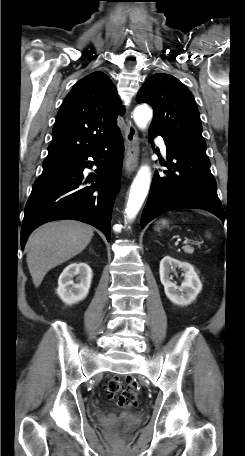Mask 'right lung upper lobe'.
Wrapping results in <instances>:
<instances>
[{
    "instance_id": "right-lung-upper-lobe-1",
    "label": "right lung upper lobe",
    "mask_w": 245,
    "mask_h": 456,
    "mask_svg": "<svg viewBox=\"0 0 245 456\" xmlns=\"http://www.w3.org/2000/svg\"><path fill=\"white\" fill-rule=\"evenodd\" d=\"M123 108L110 78L93 72L75 84L62 103L53 127L43 170L60 167L119 132Z\"/></svg>"
}]
</instances>
